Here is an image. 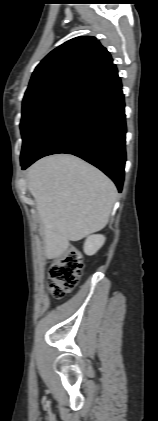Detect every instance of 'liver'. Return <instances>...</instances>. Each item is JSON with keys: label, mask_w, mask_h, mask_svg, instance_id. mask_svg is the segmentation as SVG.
Here are the masks:
<instances>
[{"label": "liver", "mask_w": 158, "mask_h": 421, "mask_svg": "<svg viewBox=\"0 0 158 421\" xmlns=\"http://www.w3.org/2000/svg\"><path fill=\"white\" fill-rule=\"evenodd\" d=\"M27 181L43 225L49 259L61 256L69 241L104 228L117 197L115 184L105 174L71 155L38 160L28 169Z\"/></svg>", "instance_id": "6515ba94"}]
</instances>
